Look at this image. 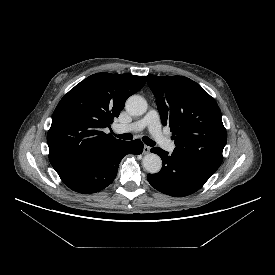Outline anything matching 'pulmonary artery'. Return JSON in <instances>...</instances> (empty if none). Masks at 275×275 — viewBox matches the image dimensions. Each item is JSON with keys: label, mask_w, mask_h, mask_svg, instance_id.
Listing matches in <instances>:
<instances>
[{"label": "pulmonary artery", "mask_w": 275, "mask_h": 275, "mask_svg": "<svg viewBox=\"0 0 275 275\" xmlns=\"http://www.w3.org/2000/svg\"><path fill=\"white\" fill-rule=\"evenodd\" d=\"M147 128L156 142L167 151L174 149V143L166 138L161 132V124L159 113L155 109H151L141 120L129 125L119 124L115 126V131L118 133L127 131H141Z\"/></svg>", "instance_id": "pulmonary-artery-1"}]
</instances>
